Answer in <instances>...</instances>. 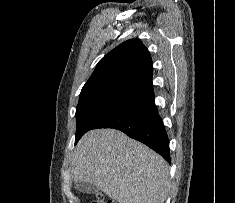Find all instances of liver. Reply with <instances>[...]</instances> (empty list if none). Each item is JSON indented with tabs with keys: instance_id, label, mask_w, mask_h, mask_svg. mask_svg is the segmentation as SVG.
<instances>
[{
	"instance_id": "liver-1",
	"label": "liver",
	"mask_w": 235,
	"mask_h": 203,
	"mask_svg": "<svg viewBox=\"0 0 235 203\" xmlns=\"http://www.w3.org/2000/svg\"><path fill=\"white\" fill-rule=\"evenodd\" d=\"M75 182L96 186L118 203H164L169 166L146 145L115 129L87 132L72 161Z\"/></svg>"
}]
</instances>
